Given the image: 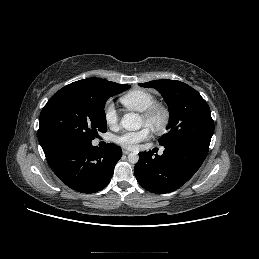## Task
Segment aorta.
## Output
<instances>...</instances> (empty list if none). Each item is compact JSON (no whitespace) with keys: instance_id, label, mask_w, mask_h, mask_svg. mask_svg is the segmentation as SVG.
Listing matches in <instances>:
<instances>
[{"instance_id":"1","label":"aorta","mask_w":259,"mask_h":259,"mask_svg":"<svg viewBox=\"0 0 259 259\" xmlns=\"http://www.w3.org/2000/svg\"><path fill=\"white\" fill-rule=\"evenodd\" d=\"M121 125L128 131H137L142 126V119L137 113H127L121 119ZM139 160V155L135 152L128 155V161L136 164Z\"/></svg>"}]
</instances>
